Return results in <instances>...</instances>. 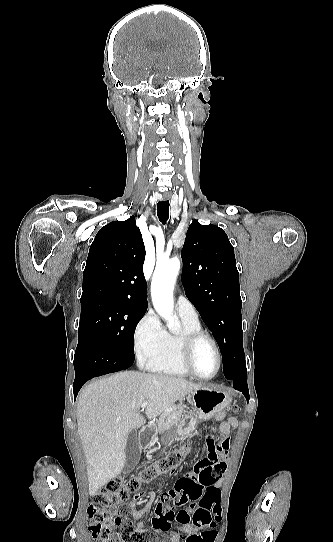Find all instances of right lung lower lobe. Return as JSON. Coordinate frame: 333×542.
<instances>
[{
    "mask_svg": "<svg viewBox=\"0 0 333 542\" xmlns=\"http://www.w3.org/2000/svg\"><path fill=\"white\" fill-rule=\"evenodd\" d=\"M134 359L117 353L95 335H84L78 341L74 356V399L88 380L129 368Z\"/></svg>",
    "mask_w": 333,
    "mask_h": 542,
    "instance_id": "right-lung-lower-lobe-1",
    "label": "right lung lower lobe"
}]
</instances>
